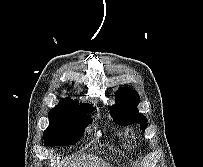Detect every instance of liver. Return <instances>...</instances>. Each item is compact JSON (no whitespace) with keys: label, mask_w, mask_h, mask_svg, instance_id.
Wrapping results in <instances>:
<instances>
[{"label":"liver","mask_w":203,"mask_h":167,"mask_svg":"<svg viewBox=\"0 0 203 167\" xmlns=\"http://www.w3.org/2000/svg\"><path fill=\"white\" fill-rule=\"evenodd\" d=\"M93 160H95V163L93 164L94 165L93 167H105V166H102V164L96 162V159H93ZM85 165H87V163L84 164L81 161H78V162L72 164L69 167H88V166H85ZM89 167H92V166H89Z\"/></svg>","instance_id":"obj_1"}]
</instances>
